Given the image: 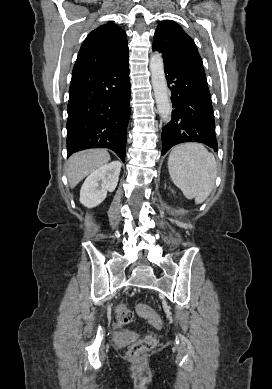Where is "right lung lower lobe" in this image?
Here are the masks:
<instances>
[{
  "label": "right lung lower lobe",
  "mask_w": 272,
  "mask_h": 389,
  "mask_svg": "<svg viewBox=\"0 0 272 389\" xmlns=\"http://www.w3.org/2000/svg\"><path fill=\"white\" fill-rule=\"evenodd\" d=\"M129 101L128 57L101 70L72 76L67 106L68 155L106 147L124 162Z\"/></svg>",
  "instance_id": "right-lung-lower-lobe-1"
}]
</instances>
